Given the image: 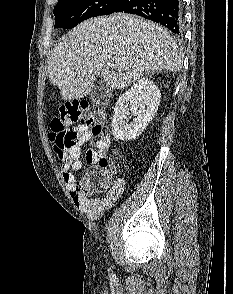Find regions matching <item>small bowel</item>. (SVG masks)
Listing matches in <instances>:
<instances>
[{
    "label": "small bowel",
    "instance_id": "obj_1",
    "mask_svg": "<svg viewBox=\"0 0 233 294\" xmlns=\"http://www.w3.org/2000/svg\"><path fill=\"white\" fill-rule=\"evenodd\" d=\"M75 134V143L69 149L66 157L61 160L62 178L69 189L76 205L91 219H98L103 212L113 205L125 189V181L121 178L113 180L107 191L100 197L85 196L77 190V183L74 172L81 169V148L87 143L94 144L96 149L86 152V161L92 164L97 163L111 149V141L108 136H95L91 129L86 126H77L72 129Z\"/></svg>",
    "mask_w": 233,
    "mask_h": 294
}]
</instances>
